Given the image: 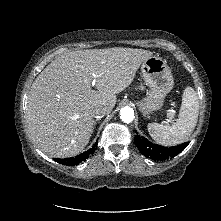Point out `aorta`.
Wrapping results in <instances>:
<instances>
[{
  "label": "aorta",
  "instance_id": "762f6f07",
  "mask_svg": "<svg viewBox=\"0 0 221 221\" xmlns=\"http://www.w3.org/2000/svg\"><path fill=\"white\" fill-rule=\"evenodd\" d=\"M120 118L125 123H131L134 119L133 109L128 107L121 109Z\"/></svg>",
  "mask_w": 221,
  "mask_h": 221
}]
</instances>
